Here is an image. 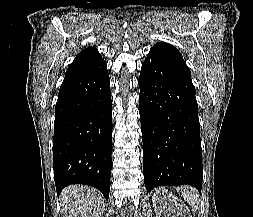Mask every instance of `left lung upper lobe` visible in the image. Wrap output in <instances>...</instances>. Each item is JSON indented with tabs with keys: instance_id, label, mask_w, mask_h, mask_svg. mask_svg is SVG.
<instances>
[{
	"instance_id": "1",
	"label": "left lung upper lobe",
	"mask_w": 253,
	"mask_h": 217,
	"mask_svg": "<svg viewBox=\"0 0 253 217\" xmlns=\"http://www.w3.org/2000/svg\"><path fill=\"white\" fill-rule=\"evenodd\" d=\"M149 53L161 57L162 59L169 62L171 65H173L174 67L178 68L179 70L191 76L190 70L187 67L182 55L172 45L168 43H164V42L157 43L151 48Z\"/></svg>"
}]
</instances>
